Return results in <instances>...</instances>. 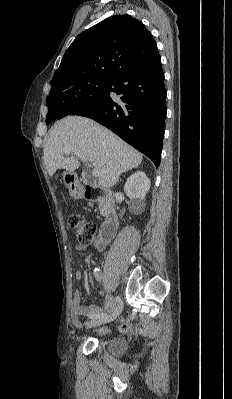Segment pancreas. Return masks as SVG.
I'll use <instances>...</instances> for the list:
<instances>
[{"label": "pancreas", "mask_w": 232, "mask_h": 399, "mask_svg": "<svg viewBox=\"0 0 232 399\" xmlns=\"http://www.w3.org/2000/svg\"><path fill=\"white\" fill-rule=\"evenodd\" d=\"M99 209H100V213H101V215H104V209H103V207H102L101 203H100V205H99Z\"/></svg>", "instance_id": "cf45deb5"}]
</instances>
